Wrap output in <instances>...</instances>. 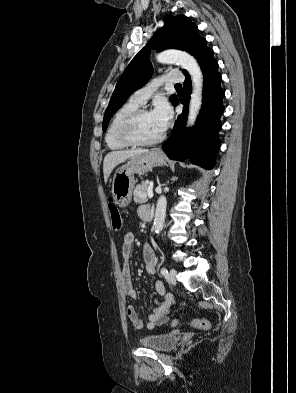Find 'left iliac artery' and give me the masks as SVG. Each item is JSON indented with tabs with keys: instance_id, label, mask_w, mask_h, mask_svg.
Listing matches in <instances>:
<instances>
[{
	"instance_id": "44dca946",
	"label": "left iliac artery",
	"mask_w": 296,
	"mask_h": 393,
	"mask_svg": "<svg viewBox=\"0 0 296 393\" xmlns=\"http://www.w3.org/2000/svg\"><path fill=\"white\" fill-rule=\"evenodd\" d=\"M161 275L167 278V276H168V271H167L166 268L163 267V268L161 269Z\"/></svg>"
}]
</instances>
